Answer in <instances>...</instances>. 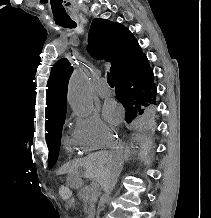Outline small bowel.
<instances>
[{
    "label": "small bowel",
    "mask_w": 211,
    "mask_h": 218,
    "mask_svg": "<svg viewBox=\"0 0 211 218\" xmlns=\"http://www.w3.org/2000/svg\"><path fill=\"white\" fill-rule=\"evenodd\" d=\"M74 205H75V201H74L73 199L67 201V203H66V206H67L68 208H71V207H73Z\"/></svg>",
    "instance_id": "small-bowel-1"
}]
</instances>
